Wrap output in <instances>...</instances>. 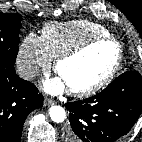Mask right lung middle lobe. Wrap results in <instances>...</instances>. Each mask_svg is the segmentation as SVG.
<instances>
[{"mask_svg": "<svg viewBox=\"0 0 142 142\" xmlns=\"http://www.w3.org/2000/svg\"><path fill=\"white\" fill-rule=\"evenodd\" d=\"M22 17L15 13H0V66L14 68L18 53Z\"/></svg>", "mask_w": 142, "mask_h": 142, "instance_id": "right-lung-middle-lobe-1", "label": "right lung middle lobe"}]
</instances>
